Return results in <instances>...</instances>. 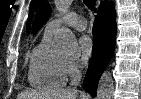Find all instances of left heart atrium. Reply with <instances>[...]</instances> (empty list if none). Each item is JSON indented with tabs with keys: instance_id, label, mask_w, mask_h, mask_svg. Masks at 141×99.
Returning a JSON list of instances; mask_svg holds the SVG:
<instances>
[{
	"instance_id": "39dd6f15",
	"label": "left heart atrium",
	"mask_w": 141,
	"mask_h": 99,
	"mask_svg": "<svg viewBox=\"0 0 141 99\" xmlns=\"http://www.w3.org/2000/svg\"><path fill=\"white\" fill-rule=\"evenodd\" d=\"M79 49L82 60H87L93 53L94 42L91 36L83 35L79 39Z\"/></svg>"
}]
</instances>
